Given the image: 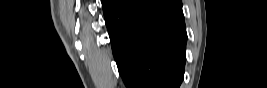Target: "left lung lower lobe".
I'll use <instances>...</instances> for the list:
<instances>
[{
    "label": "left lung lower lobe",
    "instance_id": "0a47b994",
    "mask_svg": "<svg viewBox=\"0 0 267 88\" xmlns=\"http://www.w3.org/2000/svg\"><path fill=\"white\" fill-rule=\"evenodd\" d=\"M126 88H179L187 40L181 0H102Z\"/></svg>",
    "mask_w": 267,
    "mask_h": 88
}]
</instances>
